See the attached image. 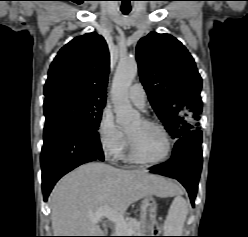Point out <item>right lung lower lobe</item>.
<instances>
[{"label": "right lung lower lobe", "instance_id": "98d812e1", "mask_svg": "<svg viewBox=\"0 0 248 237\" xmlns=\"http://www.w3.org/2000/svg\"><path fill=\"white\" fill-rule=\"evenodd\" d=\"M41 152L42 189L46 201L55 183L81 164L104 160L96 131L50 126L44 128Z\"/></svg>", "mask_w": 248, "mask_h": 237}]
</instances>
